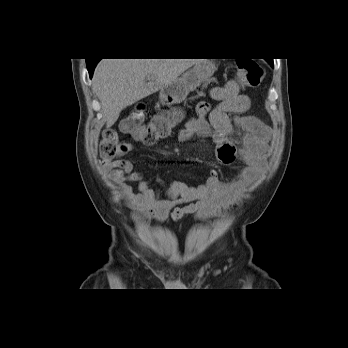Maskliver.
Returning <instances> with one entry per match:
<instances>
[{
  "mask_svg": "<svg viewBox=\"0 0 348 348\" xmlns=\"http://www.w3.org/2000/svg\"><path fill=\"white\" fill-rule=\"evenodd\" d=\"M200 59H102L93 74V91L107 127L127 106L175 81Z\"/></svg>",
  "mask_w": 348,
  "mask_h": 348,
  "instance_id": "liver-1",
  "label": "liver"
}]
</instances>
